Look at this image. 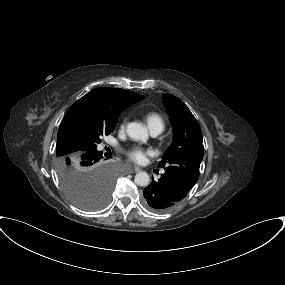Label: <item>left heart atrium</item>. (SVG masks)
<instances>
[{
	"label": "left heart atrium",
	"mask_w": 285,
	"mask_h": 285,
	"mask_svg": "<svg viewBox=\"0 0 285 285\" xmlns=\"http://www.w3.org/2000/svg\"><path fill=\"white\" fill-rule=\"evenodd\" d=\"M150 153L151 152L149 150H146L140 146H135L127 152L129 158L135 163H142L145 160L146 156Z\"/></svg>",
	"instance_id": "left-heart-atrium-1"
}]
</instances>
